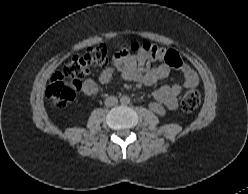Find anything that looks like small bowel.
<instances>
[{
	"instance_id": "small-bowel-1",
	"label": "small bowel",
	"mask_w": 248,
	"mask_h": 194,
	"mask_svg": "<svg viewBox=\"0 0 248 194\" xmlns=\"http://www.w3.org/2000/svg\"><path fill=\"white\" fill-rule=\"evenodd\" d=\"M165 50L154 47L153 50L132 53L126 48L119 49L111 63L102 70L98 82L86 79L82 84V90L87 95H94L102 90V86L109 83L115 72H119L125 80L153 85L157 81L166 78L171 72L172 66L164 60ZM154 60H163L158 66H152ZM179 68L184 75L183 84L174 83L163 85L154 91L153 97L156 102L170 110L178 106V98L183 88H194L198 85V76L191 65L179 56Z\"/></svg>"
}]
</instances>
